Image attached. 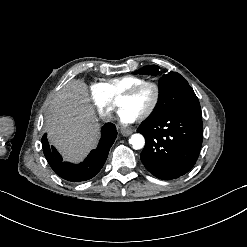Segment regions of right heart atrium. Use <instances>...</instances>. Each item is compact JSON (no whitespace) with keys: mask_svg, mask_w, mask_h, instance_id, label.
Wrapping results in <instances>:
<instances>
[{"mask_svg":"<svg viewBox=\"0 0 247 247\" xmlns=\"http://www.w3.org/2000/svg\"><path fill=\"white\" fill-rule=\"evenodd\" d=\"M91 94L94 96V103L102 115H107L112 110L110 94L102 83H95L91 87Z\"/></svg>","mask_w":247,"mask_h":247,"instance_id":"d8ad5b80","label":"right heart atrium"}]
</instances>
